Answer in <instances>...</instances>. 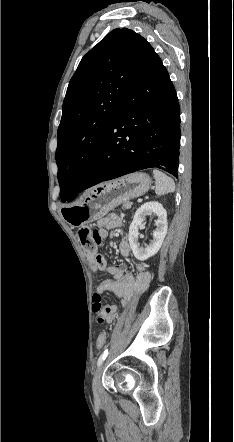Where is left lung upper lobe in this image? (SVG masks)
Segmentation results:
<instances>
[{
  "label": "left lung upper lobe",
  "instance_id": "obj_1",
  "mask_svg": "<svg viewBox=\"0 0 234 442\" xmlns=\"http://www.w3.org/2000/svg\"><path fill=\"white\" fill-rule=\"evenodd\" d=\"M153 53L142 36L117 28L82 58L69 82L58 128L62 201L76 197L83 186L124 95Z\"/></svg>",
  "mask_w": 234,
  "mask_h": 442
}]
</instances>
